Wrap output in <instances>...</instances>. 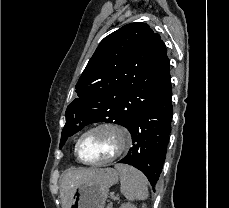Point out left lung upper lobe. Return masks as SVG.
<instances>
[{
    "mask_svg": "<svg viewBox=\"0 0 229 208\" xmlns=\"http://www.w3.org/2000/svg\"><path fill=\"white\" fill-rule=\"evenodd\" d=\"M166 46L149 25L127 24L106 36L76 84L78 98L66 109L60 148L94 122L128 127L171 86Z\"/></svg>",
    "mask_w": 229,
    "mask_h": 208,
    "instance_id": "1",
    "label": "left lung upper lobe"
}]
</instances>
